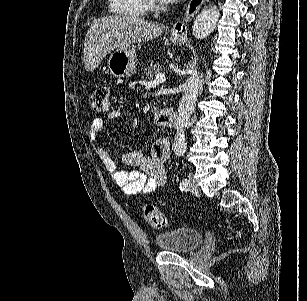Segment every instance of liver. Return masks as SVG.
I'll list each match as a JSON object with an SVG mask.
<instances>
[{"label":"liver","mask_w":307,"mask_h":301,"mask_svg":"<svg viewBox=\"0 0 307 301\" xmlns=\"http://www.w3.org/2000/svg\"><path fill=\"white\" fill-rule=\"evenodd\" d=\"M165 28V24L139 16H101L93 20L86 34L84 66L92 72L114 48L122 50L127 44L152 40L160 36Z\"/></svg>","instance_id":"6515ba94"}]
</instances>
